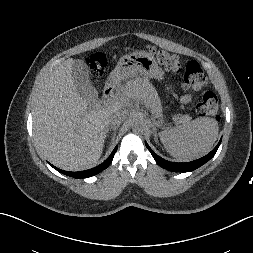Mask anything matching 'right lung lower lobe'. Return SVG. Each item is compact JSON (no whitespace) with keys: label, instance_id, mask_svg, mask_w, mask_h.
Here are the masks:
<instances>
[{"label":"right lung lower lobe","instance_id":"right-lung-lower-lobe-1","mask_svg":"<svg viewBox=\"0 0 253 253\" xmlns=\"http://www.w3.org/2000/svg\"><path fill=\"white\" fill-rule=\"evenodd\" d=\"M117 151V146L115 147V149L113 150V152L111 153V155L100 165H98L97 167H94L92 169H89V170H85V171H79V172H68V171H64V170H61L53 165H50L56 169L57 171L65 174V175H68L70 177H74V178H87V177H90V176H93V175H96L98 174L99 172L103 171L105 168H107L112 160H113V157L115 155Z\"/></svg>","mask_w":253,"mask_h":253}]
</instances>
